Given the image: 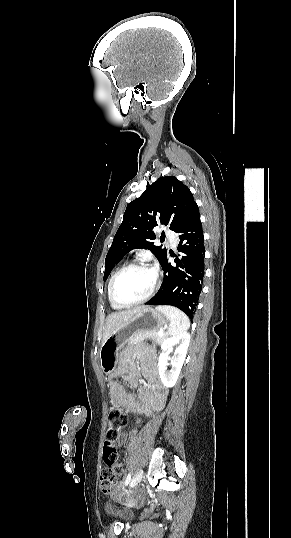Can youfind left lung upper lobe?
Segmentation results:
<instances>
[{
    "label": "left lung upper lobe",
    "mask_w": 291,
    "mask_h": 538,
    "mask_svg": "<svg viewBox=\"0 0 291 538\" xmlns=\"http://www.w3.org/2000/svg\"><path fill=\"white\" fill-rule=\"evenodd\" d=\"M197 208L188 187L174 176L160 177L148 186L126 207L123 221L106 255L104 281L122 257L135 248L149 249L161 264L167 256V249L154 245L156 236L153 228L168 225L175 231Z\"/></svg>",
    "instance_id": "1"
}]
</instances>
